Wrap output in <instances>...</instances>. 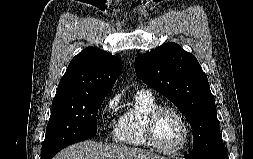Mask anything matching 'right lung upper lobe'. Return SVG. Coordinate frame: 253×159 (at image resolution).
I'll return each mask as SVG.
<instances>
[{"instance_id": "right-lung-upper-lobe-1", "label": "right lung upper lobe", "mask_w": 253, "mask_h": 159, "mask_svg": "<svg viewBox=\"0 0 253 159\" xmlns=\"http://www.w3.org/2000/svg\"><path fill=\"white\" fill-rule=\"evenodd\" d=\"M121 72L122 64L118 57L87 47L70 62L54 98L107 95Z\"/></svg>"}]
</instances>
